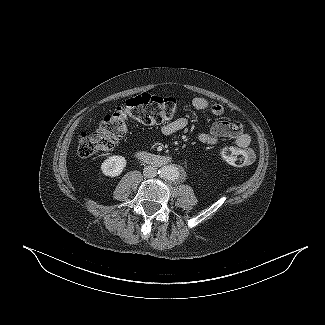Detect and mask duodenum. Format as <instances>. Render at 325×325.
Listing matches in <instances>:
<instances>
[{"label": "duodenum", "mask_w": 325, "mask_h": 325, "mask_svg": "<svg viewBox=\"0 0 325 325\" xmlns=\"http://www.w3.org/2000/svg\"><path fill=\"white\" fill-rule=\"evenodd\" d=\"M136 156L140 160H142L148 164H151L153 166H164V165L169 164L172 161L171 157H169V156L155 154V153H151V152L143 151V150L136 151Z\"/></svg>", "instance_id": "obj_1"}]
</instances>
